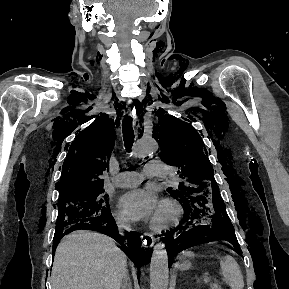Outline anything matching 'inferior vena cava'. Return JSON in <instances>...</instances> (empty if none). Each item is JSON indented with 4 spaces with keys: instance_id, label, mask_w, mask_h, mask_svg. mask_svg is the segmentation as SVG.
I'll return each instance as SVG.
<instances>
[{
    "instance_id": "obj_1",
    "label": "inferior vena cava",
    "mask_w": 289,
    "mask_h": 289,
    "mask_svg": "<svg viewBox=\"0 0 289 289\" xmlns=\"http://www.w3.org/2000/svg\"><path fill=\"white\" fill-rule=\"evenodd\" d=\"M119 230L122 231V230H127V231H130L131 230V227L129 224H126V223H123V222H120L119 225ZM127 280H128V276H127V270H125L124 274H123V284H122V288L125 289L128 284H127Z\"/></svg>"
}]
</instances>
